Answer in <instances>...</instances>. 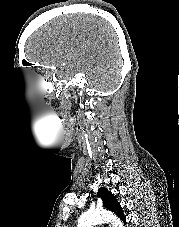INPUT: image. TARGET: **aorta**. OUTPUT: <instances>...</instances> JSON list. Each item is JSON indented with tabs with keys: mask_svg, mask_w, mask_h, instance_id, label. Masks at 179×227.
<instances>
[{
	"mask_svg": "<svg viewBox=\"0 0 179 227\" xmlns=\"http://www.w3.org/2000/svg\"><path fill=\"white\" fill-rule=\"evenodd\" d=\"M103 222H112L114 227H124L114 214L103 209L89 210L82 213L78 219L77 227H94Z\"/></svg>",
	"mask_w": 179,
	"mask_h": 227,
	"instance_id": "1",
	"label": "aorta"
}]
</instances>
